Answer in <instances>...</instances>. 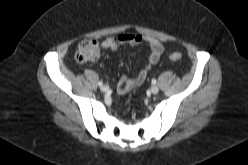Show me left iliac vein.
Listing matches in <instances>:
<instances>
[{"label":"left iliac vein","instance_id":"1","mask_svg":"<svg viewBox=\"0 0 248 165\" xmlns=\"http://www.w3.org/2000/svg\"><path fill=\"white\" fill-rule=\"evenodd\" d=\"M150 92H151L152 94H157V93L159 92V88H158L157 86L153 85V86H151V88H150Z\"/></svg>","mask_w":248,"mask_h":165}]
</instances>
